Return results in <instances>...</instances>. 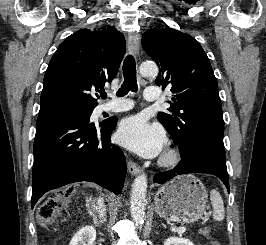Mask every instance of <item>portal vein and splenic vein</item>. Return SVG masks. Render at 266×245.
I'll return each instance as SVG.
<instances>
[{
	"instance_id": "obj_1",
	"label": "portal vein and splenic vein",
	"mask_w": 266,
	"mask_h": 245,
	"mask_svg": "<svg viewBox=\"0 0 266 245\" xmlns=\"http://www.w3.org/2000/svg\"><path fill=\"white\" fill-rule=\"evenodd\" d=\"M177 233H179V235H182V233H185V229H179V231H177Z\"/></svg>"
}]
</instances>
